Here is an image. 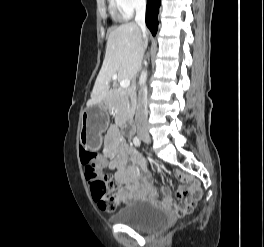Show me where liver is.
Listing matches in <instances>:
<instances>
[{"mask_svg": "<svg viewBox=\"0 0 264 247\" xmlns=\"http://www.w3.org/2000/svg\"><path fill=\"white\" fill-rule=\"evenodd\" d=\"M147 34L133 23L123 24L109 34L103 65L95 81L88 107L100 104L109 92V83L114 75L118 80H132L140 70Z\"/></svg>", "mask_w": 264, "mask_h": 247, "instance_id": "liver-1", "label": "liver"}]
</instances>
